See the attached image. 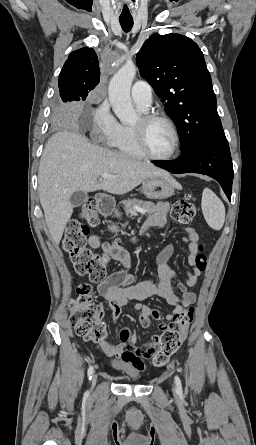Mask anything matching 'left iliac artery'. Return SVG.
<instances>
[{"mask_svg": "<svg viewBox=\"0 0 256 445\" xmlns=\"http://www.w3.org/2000/svg\"><path fill=\"white\" fill-rule=\"evenodd\" d=\"M175 384L177 387V391L181 393L182 392V384H181V380L178 376H175Z\"/></svg>", "mask_w": 256, "mask_h": 445, "instance_id": "44dca946", "label": "left iliac artery"}]
</instances>
